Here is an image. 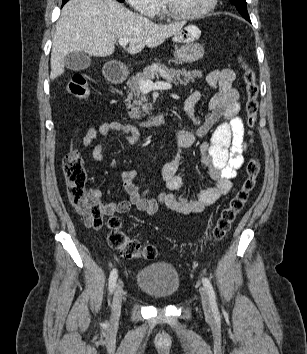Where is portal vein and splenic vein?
I'll return each instance as SVG.
<instances>
[{
	"instance_id": "portal-vein-and-splenic-vein-1",
	"label": "portal vein and splenic vein",
	"mask_w": 307,
	"mask_h": 354,
	"mask_svg": "<svg viewBox=\"0 0 307 354\" xmlns=\"http://www.w3.org/2000/svg\"><path fill=\"white\" fill-rule=\"evenodd\" d=\"M132 39H128V38H121L119 39V44L122 46V47H126L127 44L131 41ZM140 89L143 91V92H149V91H152V90H159V89H165V90H168V89H171L172 88V85L170 84V82H163V81H158V82H153L149 79L147 80H142L140 81Z\"/></svg>"
}]
</instances>
